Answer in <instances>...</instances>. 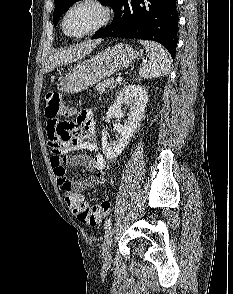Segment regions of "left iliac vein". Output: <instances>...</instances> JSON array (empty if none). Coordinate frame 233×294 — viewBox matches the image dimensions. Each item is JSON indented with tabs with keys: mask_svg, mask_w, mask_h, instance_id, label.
Wrapping results in <instances>:
<instances>
[{
	"mask_svg": "<svg viewBox=\"0 0 233 294\" xmlns=\"http://www.w3.org/2000/svg\"><path fill=\"white\" fill-rule=\"evenodd\" d=\"M113 240V230H109L106 235L105 239L102 244V255H103V260L106 265H109L111 263V244Z\"/></svg>",
	"mask_w": 233,
	"mask_h": 294,
	"instance_id": "1",
	"label": "left iliac vein"
}]
</instances>
